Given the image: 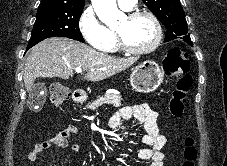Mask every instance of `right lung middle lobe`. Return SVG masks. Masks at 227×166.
Returning <instances> with one entry per match:
<instances>
[{"instance_id": "right-lung-middle-lobe-1", "label": "right lung middle lobe", "mask_w": 227, "mask_h": 166, "mask_svg": "<svg viewBox=\"0 0 227 166\" xmlns=\"http://www.w3.org/2000/svg\"><path fill=\"white\" fill-rule=\"evenodd\" d=\"M83 8L40 7L37 11L31 38L28 46L49 37H67L84 42L79 30V18Z\"/></svg>"}]
</instances>
